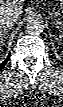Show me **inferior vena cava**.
<instances>
[{
    "label": "inferior vena cava",
    "instance_id": "inferior-vena-cava-1",
    "mask_svg": "<svg viewBox=\"0 0 63 107\" xmlns=\"http://www.w3.org/2000/svg\"><path fill=\"white\" fill-rule=\"evenodd\" d=\"M18 20V16L12 13L1 12L0 27L4 30L12 28Z\"/></svg>",
    "mask_w": 63,
    "mask_h": 107
}]
</instances>
